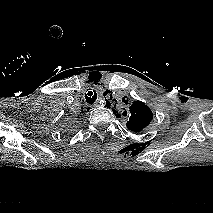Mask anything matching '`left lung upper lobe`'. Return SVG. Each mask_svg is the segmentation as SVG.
<instances>
[{"label":"left lung upper lobe","mask_w":213,"mask_h":213,"mask_svg":"<svg viewBox=\"0 0 213 213\" xmlns=\"http://www.w3.org/2000/svg\"><path fill=\"white\" fill-rule=\"evenodd\" d=\"M129 109L130 114L127 121V127L129 130L139 132L150 124L153 118V113L143 102L135 101ZM113 112L119 117V114H117L118 111L113 110ZM123 116H127L126 111L123 112Z\"/></svg>","instance_id":"left-lung-upper-lobe-1"}]
</instances>
